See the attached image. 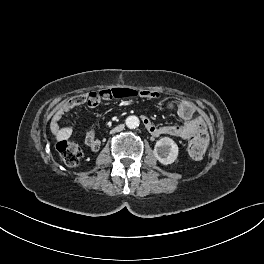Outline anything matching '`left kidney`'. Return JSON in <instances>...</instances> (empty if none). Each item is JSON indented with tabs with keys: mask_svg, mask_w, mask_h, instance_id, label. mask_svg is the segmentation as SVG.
Here are the masks:
<instances>
[{
	"mask_svg": "<svg viewBox=\"0 0 264 264\" xmlns=\"http://www.w3.org/2000/svg\"><path fill=\"white\" fill-rule=\"evenodd\" d=\"M179 148L173 139L163 137L159 139L154 147V156L156 159L164 164H172L178 157Z\"/></svg>",
	"mask_w": 264,
	"mask_h": 264,
	"instance_id": "5707ae66",
	"label": "left kidney"
}]
</instances>
